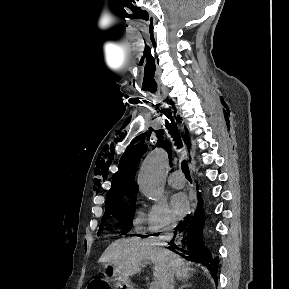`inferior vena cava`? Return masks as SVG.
Segmentation results:
<instances>
[{
    "mask_svg": "<svg viewBox=\"0 0 289 289\" xmlns=\"http://www.w3.org/2000/svg\"><path fill=\"white\" fill-rule=\"evenodd\" d=\"M176 224L172 223L171 225H168L165 227V238L171 239L173 236V230L175 228ZM161 289H174V274L170 266H166L163 277L161 280Z\"/></svg>",
    "mask_w": 289,
    "mask_h": 289,
    "instance_id": "602c4592",
    "label": "inferior vena cava"
}]
</instances>
